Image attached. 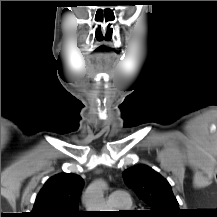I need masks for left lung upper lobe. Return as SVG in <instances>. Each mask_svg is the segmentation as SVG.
Instances as JSON below:
<instances>
[{
	"mask_svg": "<svg viewBox=\"0 0 217 217\" xmlns=\"http://www.w3.org/2000/svg\"><path fill=\"white\" fill-rule=\"evenodd\" d=\"M125 183L152 210L151 217H179L180 209L171 186L159 173L146 165H136L123 172Z\"/></svg>",
	"mask_w": 217,
	"mask_h": 217,
	"instance_id": "obj_1",
	"label": "left lung upper lobe"
}]
</instances>
